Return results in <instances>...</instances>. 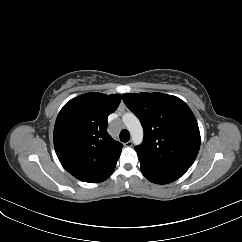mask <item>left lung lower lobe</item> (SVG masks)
<instances>
[{
	"label": "left lung lower lobe",
	"instance_id": "0a47b994",
	"mask_svg": "<svg viewBox=\"0 0 242 242\" xmlns=\"http://www.w3.org/2000/svg\"><path fill=\"white\" fill-rule=\"evenodd\" d=\"M140 161L141 171L143 175L151 182L157 184H167L179 179L183 174L175 171L160 169L145 164Z\"/></svg>",
	"mask_w": 242,
	"mask_h": 242
}]
</instances>
